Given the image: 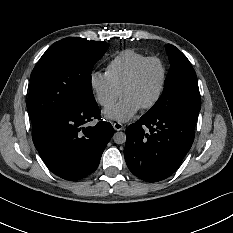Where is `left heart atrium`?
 <instances>
[{"label":"left heart atrium","instance_id":"left-heart-atrium-1","mask_svg":"<svg viewBox=\"0 0 233 233\" xmlns=\"http://www.w3.org/2000/svg\"><path fill=\"white\" fill-rule=\"evenodd\" d=\"M141 108L142 106L136 100L125 96L117 104L104 109L102 117L106 120L124 123L133 118Z\"/></svg>","mask_w":233,"mask_h":233}]
</instances>
